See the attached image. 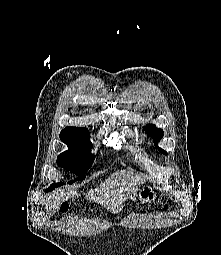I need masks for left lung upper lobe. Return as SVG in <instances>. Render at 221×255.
<instances>
[{"label": "left lung upper lobe", "instance_id": "left-lung-upper-lobe-1", "mask_svg": "<svg viewBox=\"0 0 221 255\" xmlns=\"http://www.w3.org/2000/svg\"><path fill=\"white\" fill-rule=\"evenodd\" d=\"M145 131L151 136L154 138V142H155V145L157 144V142L163 137V130L161 129H157L155 125L153 124H149V125H146L144 127ZM159 151H161L162 153H165L167 154V152H165L163 149L159 148Z\"/></svg>", "mask_w": 221, "mask_h": 255}]
</instances>
